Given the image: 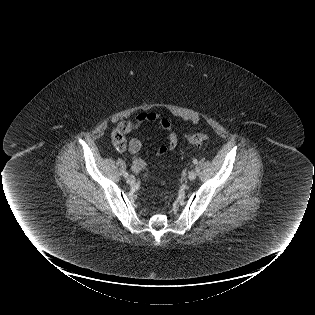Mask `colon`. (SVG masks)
<instances>
[{"label":"colon","instance_id":"obj_1","mask_svg":"<svg viewBox=\"0 0 315 315\" xmlns=\"http://www.w3.org/2000/svg\"><path fill=\"white\" fill-rule=\"evenodd\" d=\"M209 140V136L203 133L193 134L188 138L191 144L199 145ZM112 142L118 151H124L126 148V139L124 133L118 127L112 134Z\"/></svg>","mask_w":315,"mask_h":315}]
</instances>
